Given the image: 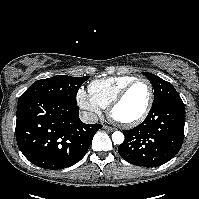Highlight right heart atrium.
I'll return each mask as SVG.
<instances>
[{
  "label": "right heart atrium",
  "instance_id": "obj_1",
  "mask_svg": "<svg viewBox=\"0 0 199 199\" xmlns=\"http://www.w3.org/2000/svg\"><path fill=\"white\" fill-rule=\"evenodd\" d=\"M77 102L80 108H82L91 118L97 117L100 114V106L92 99L89 93L84 89H79L77 92Z\"/></svg>",
  "mask_w": 199,
  "mask_h": 199
}]
</instances>
